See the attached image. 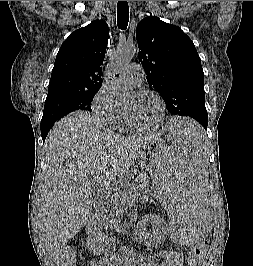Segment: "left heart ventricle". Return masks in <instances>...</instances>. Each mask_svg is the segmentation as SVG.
<instances>
[{"label":"left heart ventricle","instance_id":"obj_1","mask_svg":"<svg viewBox=\"0 0 253 266\" xmlns=\"http://www.w3.org/2000/svg\"><path fill=\"white\" fill-rule=\"evenodd\" d=\"M125 107L132 113L136 122L143 127L156 124L160 118L159 102L149 94L137 95L132 92L125 102Z\"/></svg>","mask_w":253,"mask_h":266}]
</instances>
